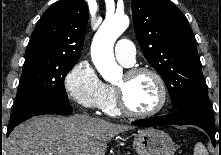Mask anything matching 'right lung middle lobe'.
<instances>
[{"mask_svg":"<svg viewBox=\"0 0 221 155\" xmlns=\"http://www.w3.org/2000/svg\"><path fill=\"white\" fill-rule=\"evenodd\" d=\"M76 62L46 57L25 58L12 114L39 100L67 102L64 78Z\"/></svg>","mask_w":221,"mask_h":155,"instance_id":"dd1d6c3e","label":"right lung middle lobe"}]
</instances>
